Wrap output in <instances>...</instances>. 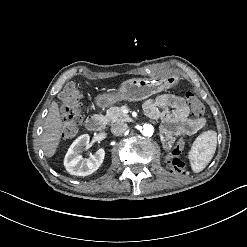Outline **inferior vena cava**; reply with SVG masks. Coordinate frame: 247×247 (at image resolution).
Returning <instances> with one entry per match:
<instances>
[{
	"instance_id": "obj_1",
	"label": "inferior vena cava",
	"mask_w": 247,
	"mask_h": 247,
	"mask_svg": "<svg viewBox=\"0 0 247 247\" xmlns=\"http://www.w3.org/2000/svg\"><path fill=\"white\" fill-rule=\"evenodd\" d=\"M127 129H128V125L126 123L119 122L112 125L111 132L115 136H120L124 134L127 131Z\"/></svg>"
}]
</instances>
